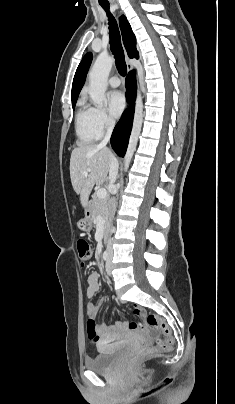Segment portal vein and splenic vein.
I'll return each mask as SVG.
<instances>
[{"label": "portal vein and splenic vein", "instance_id": "portal-vein-and-splenic-vein-1", "mask_svg": "<svg viewBox=\"0 0 235 404\" xmlns=\"http://www.w3.org/2000/svg\"><path fill=\"white\" fill-rule=\"evenodd\" d=\"M89 171H90V170L87 169V170L85 171V174H87ZM96 195H97L98 198L104 199V198L107 196V191H106V189H104V188H100V189H98V190L96 191Z\"/></svg>", "mask_w": 235, "mask_h": 404}]
</instances>
